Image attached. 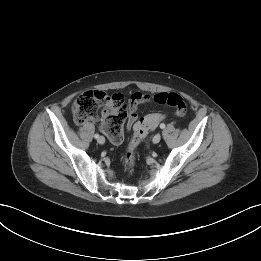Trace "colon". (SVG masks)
Listing matches in <instances>:
<instances>
[{
  "label": "colon",
  "mask_w": 261,
  "mask_h": 261,
  "mask_svg": "<svg viewBox=\"0 0 261 261\" xmlns=\"http://www.w3.org/2000/svg\"><path fill=\"white\" fill-rule=\"evenodd\" d=\"M155 101L172 107L175 114L183 116L186 105L183 98L176 93H160L155 96ZM72 112L77 123L82 124L94 120L102 113L103 122L101 128L113 144H122L125 136L123 125L128 115L124 102L116 95H110L102 91H86L80 94L73 103ZM163 114H151L138 120L133 128V134L128 149L123 158V167L130 170L136 160L135 151L137 146L144 140L160 121Z\"/></svg>",
  "instance_id": "1"
}]
</instances>
